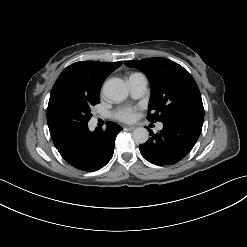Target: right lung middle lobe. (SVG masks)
Wrapping results in <instances>:
<instances>
[{
  "mask_svg": "<svg viewBox=\"0 0 247 247\" xmlns=\"http://www.w3.org/2000/svg\"><path fill=\"white\" fill-rule=\"evenodd\" d=\"M100 96L74 91H63L49 100L47 123L52 138L87 127L91 107L98 104Z\"/></svg>",
  "mask_w": 247,
  "mask_h": 247,
  "instance_id": "1",
  "label": "right lung middle lobe"
}]
</instances>
